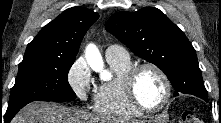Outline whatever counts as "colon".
Instances as JSON below:
<instances>
[{
  "label": "colon",
  "instance_id": "5ec220e1",
  "mask_svg": "<svg viewBox=\"0 0 221 123\" xmlns=\"http://www.w3.org/2000/svg\"><path fill=\"white\" fill-rule=\"evenodd\" d=\"M179 122L180 123H203V120L199 115L191 111H184L181 114Z\"/></svg>",
  "mask_w": 221,
  "mask_h": 123
}]
</instances>
